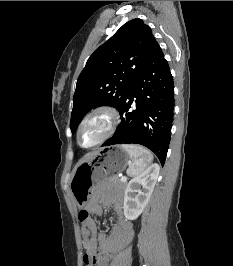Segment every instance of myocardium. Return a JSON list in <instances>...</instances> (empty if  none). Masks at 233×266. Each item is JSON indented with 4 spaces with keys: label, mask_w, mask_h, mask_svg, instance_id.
Masks as SVG:
<instances>
[{
    "label": "myocardium",
    "mask_w": 233,
    "mask_h": 266,
    "mask_svg": "<svg viewBox=\"0 0 233 266\" xmlns=\"http://www.w3.org/2000/svg\"><path fill=\"white\" fill-rule=\"evenodd\" d=\"M106 115L109 119V124L107 127L106 132L104 133V135L95 143L91 144V145H84L81 142L80 139V134H81V130L83 128V126L86 124V122H88L91 118L98 116V115ZM121 116H120V112L119 110L113 106V105H109V104H104V105H100L94 109H92L80 122L78 129H77V133H76V138H77V142L78 144L83 147V148H94L96 146H99L101 144H103L104 142H106L109 138L112 137V135L115 133L119 122H120Z\"/></svg>",
    "instance_id": "myocardium-1"
}]
</instances>
